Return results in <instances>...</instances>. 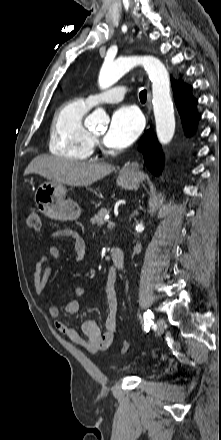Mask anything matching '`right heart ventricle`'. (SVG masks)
Listing matches in <instances>:
<instances>
[{
	"mask_svg": "<svg viewBox=\"0 0 221 440\" xmlns=\"http://www.w3.org/2000/svg\"><path fill=\"white\" fill-rule=\"evenodd\" d=\"M91 105L80 98L65 102L55 113L49 139L50 152L56 156L86 160L94 149V139L83 119Z\"/></svg>",
	"mask_w": 221,
	"mask_h": 440,
	"instance_id": "obj_1",
	"label": "right heart ventricle"
}]
</instances>
